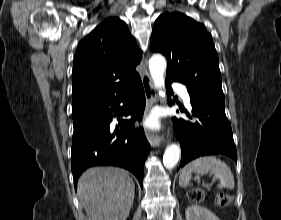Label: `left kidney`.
I'll return each instance as SVG.
<instances>
[{
    "label": "left kidney",
    "instance_id": "left-kidney-1",
    "mask_svg": "<svg viewBox=\"0 0 281 220\" xmlns=\"http://www.w3.org/2000/svg\"><path fill=\"white\" fill-rule=\"evenodd\" d=\"M186 220H220L207 208L199 205H190L185 211Z\"/></svg>",
    "mask_w": 281,
    "mask_h": 220
}]
</instances>
